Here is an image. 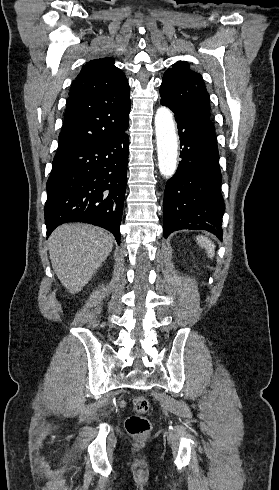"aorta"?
Listing matches in <instances>:
<instances>
[{
	"instance_id": "aorta-1",
	"label": "aorta",
	"mask_w": 279,
	"mask_h": 490,
	"mask_svg": "<svg viewBox=\"0 0 279 490\" xmlns=\"http://www.w3.org/2000/svg\"><path fill=\"white\" fill-rule=\"evenodd\" d=\"M155 134L160 173L170 178L177 168L178 138L173 114L166 107H159L155 115Z\"/></svg>"
}]
</instances>
